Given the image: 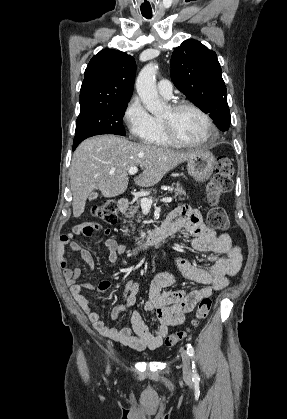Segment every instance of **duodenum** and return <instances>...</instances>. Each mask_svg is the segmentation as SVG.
<instances>
[{
	"mask_svg": "<svg viewBox=\"0 0 287 419\" xmlns=\"http://www.w3.org/2000/svg\"><path fill=\"white\" fill-rule=\"evenodd\" d=\"M128 206L129 201L127 199L123 198L119 200V210L121 213H125ZM173 232L174 229L167 224L153 230L144 238L140 245L133 250V254L137 255L140 251L159 245L163 240L172 235Z\"/></svg>",
	"mask_w": 287,
	"mask_h": 419,
	"instance_id": "410a0bca",
	"label": "duodenum"
}]
</instances>
